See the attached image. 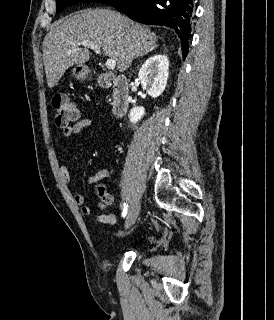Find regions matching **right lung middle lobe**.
<instances>
[{
	"mask_svg": "<svg viewBox=\"0 0 274 320\" xmlns=\"http://www.w3.org/2000/svg\"><path fill=\"white\" fill-rule=\"evenodd\" d=\"M110 1L111 0H56V12H61L64 8L80 2L108 3Z\"/></svg>",
	"mask_w": 274,
	"mask_h": 320,
	"instance_id": "right-lung-middle-lobe-1",
	"label": "right lung middle lobe"
}]
</instances>
